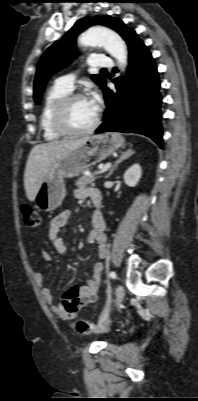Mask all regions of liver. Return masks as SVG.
<instances>
[{"label": "liver", "instance_id": "1", "mask_svg": "<svg viewBox=\"0 0 198 401\" xmlns=\"http://www.w3.org/2000/svg\"><path fill=\"white\" fill-rule=\"evenodd\" d=\"M89 137L68 139L35 145L28 156L24 172V187L27 198L34 201L53 162L83 145Z\"/></svg>", "mask_w": 198, "mask_h": 401}]
</instances>
